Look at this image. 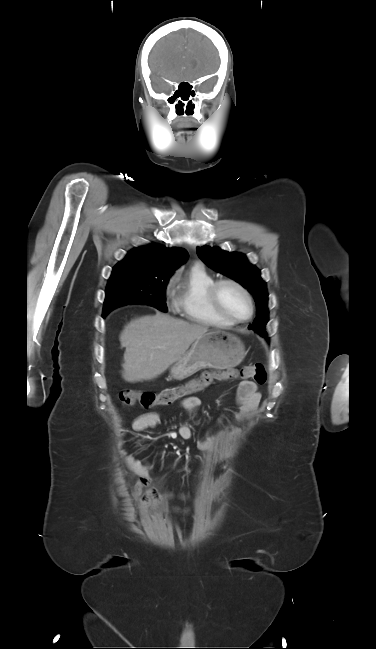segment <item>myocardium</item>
I'll list each match as a JSON object with an SVG mask.
<instances>
[{
	"mask_svg": "<svg viewBox=\"0 0 376 649\" xmlns=\"http://www.w3.org/2000/svg\"><path fill=\"white\" fill-rule=\"evenodd\" d=\"M224 285H231V286L235 287L237 290H239L244 295V297L246 298V300L248 302V305H249V314L247 315V317H245V318H236V317L232 316L226 310V308L224 307V305L222 303L221 296H220V290ZM209 296H210V299H211L214 307L219 312V314L222 317H224L226 320H228L229 322H231L233 324L243 323V322L248 321L249 319H251V317H252V315L254 313V301H253V298H252L250 292L248 291V289L243 284H241L240 282H238L235 279L223 278V279L216 280L212 284V286L210 287Z\"/></svg>",
	"mask_w": 376,
	"mask_h": 649,
	"instance_id": "myocardium-1",
	"label": "myocardium"
}]
</instances>
